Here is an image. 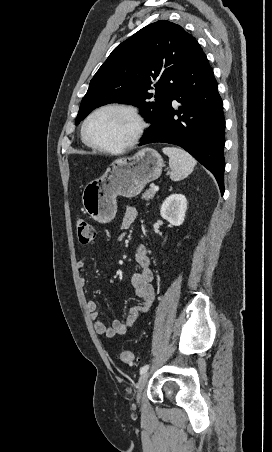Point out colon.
Masks as SVG:
<instances>
[{
  "mask_svg": "<svg viewBox=\"0 0 272 452\" xmlns=\"http://www.w3.org/2000/svg\"><path fill=\"white\" fill-rule=\"evenodd\" d=\"M77 240L81 245H88L93 242L95 238L94 227L86 220L79 219L76 222ZM117 358L126 364H133L135 362V356L131 351H121Z\"/></svg>",
  "mask_w": 272,
  "mask_h": 452,
  "instance_id": "1",
  "label": "colon"
}]
</instances>
